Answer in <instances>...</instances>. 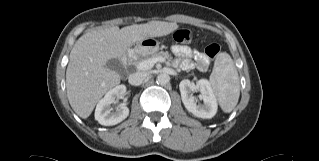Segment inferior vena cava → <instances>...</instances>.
Returning <instances> with one entry per match:
<instances>
[{"mask_svg": "<svg viewBox=\"0 0 319 161\" xmlns=\"http://www.w3.org/2000/svg\"><path fill=\"white\" fill-rule=\"evenodd\" d=\"M147 77L146 72H136L129 75L128 81L131 85H140L144 82Z\"/></svg>", "mask_w": 319, "mask_h": 161, "instance_id": "inferior-vena-cava-1", "label": "inferior vena cava"}]
</instances>
